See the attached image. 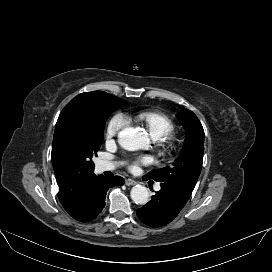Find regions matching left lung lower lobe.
Segmentation results:
<instances>
[{
    "label": "left lung lower lobe",
    "mask_w": 272,
    "mask_h": 272,
    "mask_svg": "<svg viewBox=\"0 0 272 272\" xmlns=\"http://www.w3.org/2000/svg\"><path fill=\"white\" fill-rule=\"evenodd\" d=\"M161 185L150 202L136 210L139 219L148 226L161 227L171 222L189 198L176 189Z\"/></svg>",
    "instance_id": "0a47b994"
}]
</instances>
